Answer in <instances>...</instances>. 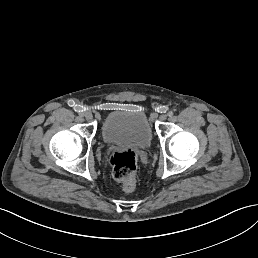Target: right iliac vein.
I'll list each match as a JSON object with an SVG mask.
<instances>
[{"mask_svg": "<svg viewBox=\"0 0 258 258\" xmlns=\"http://www.w3.org/2000/svg\"><path fill=\"white\" fill-rule=\"evenodd\" d=\"M84 118H85L87 121H90V120L93 118V115L90 113V111H85Z\"/></svg>", "mask_w": 258, "mask_h": 258, "instance_id": "63e3f726", "label": "right iliac vein"}]
</instances>
